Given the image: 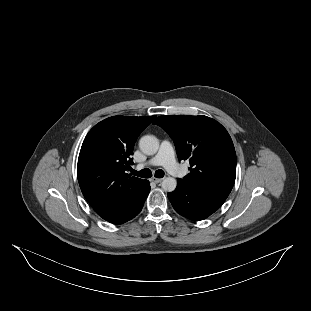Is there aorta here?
Instances as JSON below:
<instances>
[{
    "label": "aorta",
    "instance_id": "1",
    "mask_svg": "<svg viewBox=\"0 0 311 311\" xmlns=\"http://www.w3.org/2000/svg\"><path fill=\"white\" fill-rule=\"evenodd\" d=\"M139 148L145 155L152 156L158 152L159 143L153 135H145L139 141ZM177 180L174 177H166L162 180V188L168 192L175 190Z\"/></svg>",
    "mask_w": 311,
    "mask_h": 311
}]
</instances>
